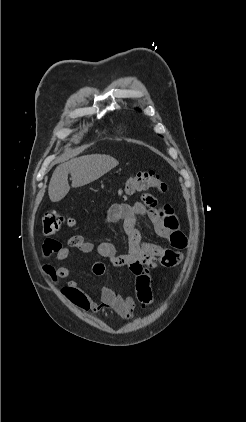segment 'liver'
<instances>
[{
  "instance_id": "liver-1",
  "label": "liver",
  "mask_w": 246,
  "mask_h": 422,
  "mask_svg": "<svg viewBox=\"0 0 246 422\" xmlns=\"http://www.w3.org/2000/svg\"><path fill=\"white\" fill-rule=\"evenodd\" d=\"M118 165V161L108 155H86L74 158L56 167L51 177L48 194L52 202L62 200L69 192L68 174L71 175L72 187L87 185Z\"/></svg>"
}]
</instances>
